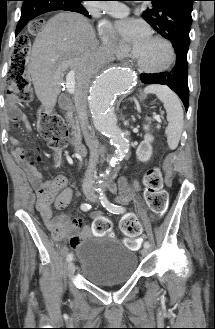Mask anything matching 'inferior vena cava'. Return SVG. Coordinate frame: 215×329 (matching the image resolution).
Listing matches in <instances>:
<instances>
[{
  "label": "inferior vena cava",
  "instance_id": "inferior-vena-cava-1",
  "mask_svg": "<svg viewBox=\"0 0 215 329\" xmlns=\"http://www.w3.org/2000/svg\"><path fill=\"white\" fill-rule=\"evenodd\" d=\"M95 58L98 62L103 64L105 60L111 59V52L108 47H101L97 50ZM89 85H82L75 93L74 101L75 107L80 121L81 131L85 142L90 150L89 165L85 174L84 185L93 180L96 172V165L99 156V142L89 133L88 130V116H87V95Z\"/></svg>",
  "mask_w": 215,
  "mask_h": 329
}]
</instances>
